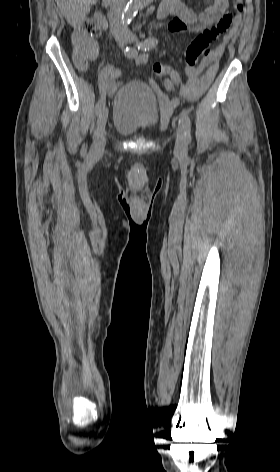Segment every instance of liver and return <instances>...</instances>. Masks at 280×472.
Masks as SVG:
<instances>
[{
    "label": "liver",
    "mask_w": 280,
    "mask_h": 472,
    "mask_svg": "<svg viewBox=\"0 0 280 472\" xmlns=\"http://www.w3.org/2000/svg\"><path fill=\"white\" fill-rule=\"evenodd\" d=\"M98 0H56L67 22L74 28L80 26Z\"/></svg>",
    "instance_id": "liver-1"
}]
</instances>
